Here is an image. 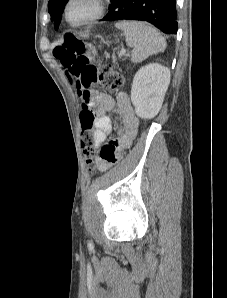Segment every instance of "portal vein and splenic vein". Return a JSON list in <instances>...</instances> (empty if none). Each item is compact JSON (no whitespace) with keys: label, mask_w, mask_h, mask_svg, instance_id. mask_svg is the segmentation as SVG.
I'll use <instances>...</instances> for the list:
<instances>
[{"label":"portal vein and splenic vein","mask_w":227,"mask_h":298,"mask_svg":"<svg viewBox=\"0 0 227 298\" xmlns=\"http://www.w3.org/2000/svg\"><path fill=\"white\" fill-rule=\"evenodd\" d=\"M125 52L124 51H122V53L121 54H124Z\"/></svg>","instance_id":"portal-vein-and-splenic-vein-1"}]
</instances>
